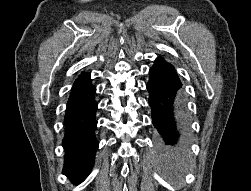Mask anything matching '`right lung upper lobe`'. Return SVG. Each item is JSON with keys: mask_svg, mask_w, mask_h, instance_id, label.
I'll return each instance as SVG.
<instances>
[{"mask_svg": "<svg viewBox=\"0 0 251 191\" xmlns=\"http://www.w3.org/2000/svg\"><path fill=\"white\" fill-rule=\"evenodd\" d=\"M84 74H86V73H83V74H81L80 76H82V75H84ZM80 76H79V77H80Z\"/></svg>", "mask_w": 251, "mask_h": 191, "instance_id": "right-lung-upper-lobe-1", "label": "right lung upper lobe"}]
</instances>
